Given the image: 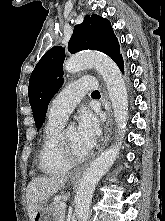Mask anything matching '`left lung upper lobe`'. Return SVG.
I'll return each mask as SVG.
<instances>
[{
	"label": "left lung upper lobe",
	"mask_w": 165,
	"mask_h": 221,
	"mask_svg": "<svg viewBox=\"0 0 165 221\" xmlns=\"http://www.w3.org/2000/svg\"><path fill=\"white\" fill-rule=\"evenodd\" d=\"M85 49L101 51L115 62L122 57L109 20L96 14L86 15L84 21L75 26L68 43L71 53ZM64 58V48L54 46L43 55L31 74L28 97L38 128L44 122L50 100L63 84Z\"/></svg>",
	"instance_id": "5c2ea615"
}]
</instances>
